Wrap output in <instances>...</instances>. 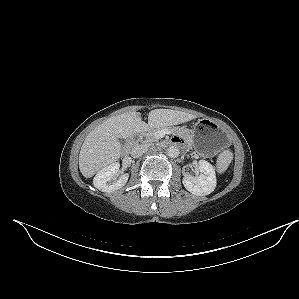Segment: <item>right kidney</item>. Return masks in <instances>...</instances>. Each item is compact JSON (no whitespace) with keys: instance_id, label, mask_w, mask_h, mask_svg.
Segmentation results:
<instances>
[{"instance_id":"1","label":"right kidney","mask_w":299,"mask_h":299,"mask_svg":"<svg viewBox=\"0 0 299 299\" xmlns=\"http://www.w3.org/2000/svg\"><path fill=\"white\" fill-rule=\"evenodd\" d=\"M119 167V163H113L101 169L93 179L95 188L108 193L122 188L127 183L129 175L123 174L118 179H115Z\"/></svg>"}]
</instances>
